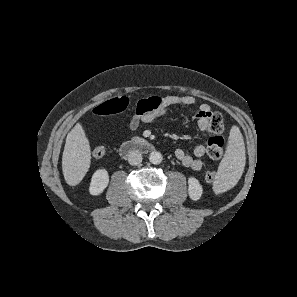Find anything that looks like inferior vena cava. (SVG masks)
I'll return each instance as SVG.
<instances>
[{
  "mask_svg": "<svg viewBox=\"0 0 297 297\" xmlns=\"http://www.w3.org/2000/svg\"><path fill=\"white\" fill-rule=\"evenodd\" d=\"M142 159L141 153L137 150H133L128 154V162L131 165H139Z\"/></svg>",
  "mask_w": 297,
  "mask_h": 297,
  "instance_id": "inferior-vena-cava-1",
  "label": "inferior vena cava"
}]
</instances>
